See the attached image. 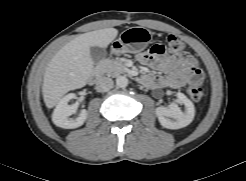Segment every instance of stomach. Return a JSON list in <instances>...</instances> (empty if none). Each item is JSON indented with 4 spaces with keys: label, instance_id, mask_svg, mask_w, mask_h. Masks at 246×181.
<instances>
[{
    "label": "stomach",
    "instance_id": "0dacf381",
    "mask_svg": "<svg viewBox=\"0 0 246 181\" xmlns=\"http://www.w3.org/2000/svg\"><path fill=\"white\" fill-rule=\"evenodd\" d=\"M151 41V32L143 27H131L123 31L119 38L112 42L111 53L123 54L126 52L139 53Z\"/></svg>",
    "mask_w": 246,
    "mask_h": 181
}]
</instances>
